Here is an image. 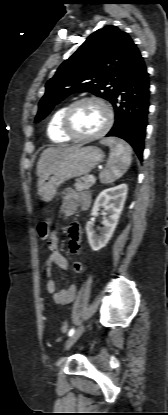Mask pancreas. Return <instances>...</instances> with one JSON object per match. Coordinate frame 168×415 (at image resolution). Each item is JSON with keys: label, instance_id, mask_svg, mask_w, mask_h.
<instances>
[{"label": "pancreas", "instance_id": "pancreas-1", "mask_svg": "<svg viewBox=\"0 0 168 415\" xmlns=\"http://www.w3.org/2000/svg\"><path fill=\"white\" fill-rule=\"evenodd\" d=\"M95 182H96L95 178L93 180H90L88 176H84L80 178L79 180H77L74 187L77 191L88 190L89 188L92 187V185L95 184Z\"/></svg>", "mask_w": 168, "mask_h": 415}]
</instances>
